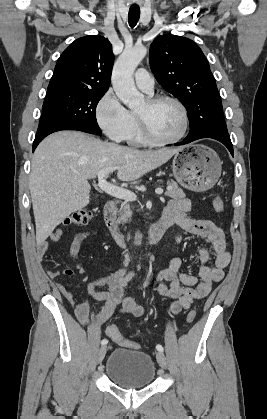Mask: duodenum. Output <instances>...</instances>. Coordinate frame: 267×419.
<instances>
[{
  "mask_svg": "<svg viewBox=\"0 0 267 419\" xmlns=\"http://www.w3.org/2000/svg\"><path fill=\"white\" fill-rule=\"evenodd\" d=\"M116 209L117 206L115 202L108 201L103 209L104 221L114 240L119 244H126V236L122 233L115 218ZM171 226L172 222L169 219L161 217L160 220L149 230L147 236L148 242L150 244H154L160 241Z\"/></svg>",
  "mask_w": 267,
  "mask_h": 419,
  "instance_id": "410a0bca",
  "label": "duodenum"
}]
</instances>
